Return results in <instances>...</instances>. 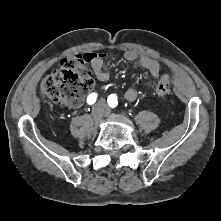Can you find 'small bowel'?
Segmentation results:
<instances>
[{"label":"small bowel","mask_w":221,"mask_h":221,"mask_svg":"<svg viewBox=\"0 0 221 221\" xmlns=\"http://www.w3.org/2000/svg\"><path fill=\"white\" fill-rule=\"evenodd\" d=\"M87 59L88 62H90L91 67L94 71V74L96 75L97 79L101 82H106L110 79L111 73L108 69L105 68V63H104V55L103 54H96V53H86L84 55ZM124 57L128 61H135L139 60L140 66L148 71L152 79H156L159 76L160 73V63L148 56H141L138 57L137 53L134 51H127L124 54ZM147 85L149 87L152 86V80H150ZM138 96V92L135 88H129L124 95L125 100L132 102L136 100Z\"/></svg>","instance_id":"small-bowel-1"}]
</instances>
